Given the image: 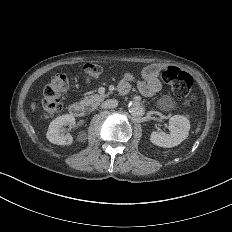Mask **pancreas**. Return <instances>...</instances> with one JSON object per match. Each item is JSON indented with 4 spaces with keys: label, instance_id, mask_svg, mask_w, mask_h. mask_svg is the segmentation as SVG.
Returning a JSON list of instances; mask_svg holds the SVG:
<instances>
[{
    "label": "pancreas",
    "instance_id": "cf45deb5",
    "mask_svg": "<svg viewBox=\"0 0 232 232\" xmlns=\"http://www.w3.org/2000/svg\"><path fill=\"white\" fill-rule=\"evenodd\" d=\"M105 97L106 95L98 94L87 96L81 101V104H83L86 107H89V111H93L104 100Z\"/></svg>",
    "mask_w": 232,
    "mask_h": 232
}]
</instances>
